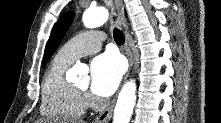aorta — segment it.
Segmentation results:
<instances>
[{"label": "aorta", "instance_id": "762f6f07", "mask_svg": "<svg viewBox=\"0 0 221 123\" xmlns=\"http://www.w3.org/2000/svg\"><path fill=\"white\" fill-rule=\"evenodd\" d=\"M109 17L107 9L100 7L87 9L83 14V23L87 28L103 25ZM81 70L80 66L72 69L74 74ZM136 102V84L134 80L128 81L122 87L114 109L113 123H129Z\"/></svg>", "mask_w": 221, "mask_h": 123}]
</instances>
